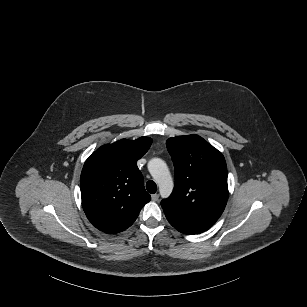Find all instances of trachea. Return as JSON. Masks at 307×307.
I'll return each instance as SVG.
<instances>
[{
    "instance_id": "1",
    "label": "trachea",
    "mask_w": 307,
    "mask_h": 307,
    "mask_svg": "<svg viewBox=\"0 0 307 307\" xmlns=\"http://www.w3.org/2000/svg\"><path fill=\"white\" fill-rule=\"evenodd\" d=\"M146 189L149 193L154 194L157 191V185L154 181L150 180L146 183Z\"/></svg>"
}]
</instances>
